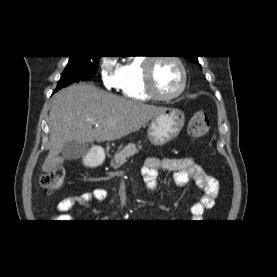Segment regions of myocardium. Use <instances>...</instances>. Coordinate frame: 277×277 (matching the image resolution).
Masks as SVG:
<instances>
[{
	"label": "myocardium",
	"instance_id": "obj_1",
	"mask_svg": "<svg viewBox=\"0 0 277 277\" xmlns=\"http://www.w3.org/2000/svg\"><path fill=\"white\" fill-rule=\"evenodd\" d=\"M159 59H169L177 64L181 73V84L179 89L168 96L161 95L157 92L154 84V76H153V64ZM143 84L144 90L146 93L153 99L159 101H170L177 97H179L186 89L187 86V70L183 63V61L177 57L176 55H166L164 57H151L144 62L143 66Z\"/></svg>",
	"mask_w": 277,
	"mask_h": 277
}]
</instances>
